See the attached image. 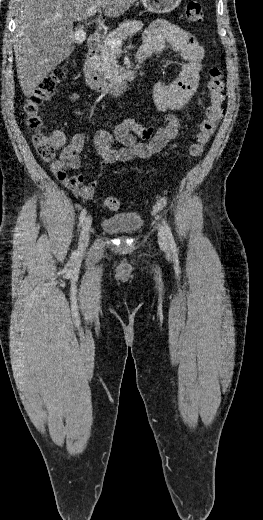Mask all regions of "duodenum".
Segmentation results:
<instances>
[{"label":"duodenum","mask_w":263,"mask_h":520,"mask_svg":"<svg viewBox=\"0 0 263 520\" xmlns=\"http://www.w3.org/2000/svg\"><path fill=\"white\" fill-rule=\"evenodd\" d=\"M100 48V38L97 33H93L88 38L87 52L84 58L82 71L85 82L94 92L102 95L120 96L130 89L135 82L137 75L134 72L124 74L120 79L108 81L98 72L94 58ZM147 57L138 53L137 59L143 61Z\"/></svg>","instance_id":"duodenum-1"}]
</instances>
